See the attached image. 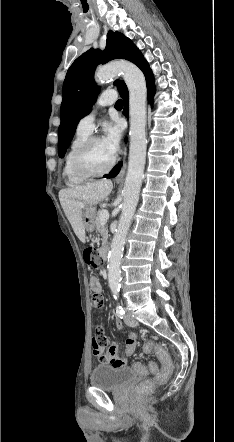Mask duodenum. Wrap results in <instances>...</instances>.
Returning a JSON list of instances; mask_svg holds the SVG:
<instances>
[{
    "mask_svg": "<svg viewBox=\"0 0 234 442\" xmlns=\"http://www.w3.org/2000/svg\"><path fill=\"white\" fill-rule=\"evenodd\" d=\"M100 256L104 262L108 261L109 258V247L104 246L100 249Z\"/></svg>",
    "mask_w": 234,
    "mask_h": 442,
    "instance_id": "1",
    "label": "duodenum"
}]
</instances>
